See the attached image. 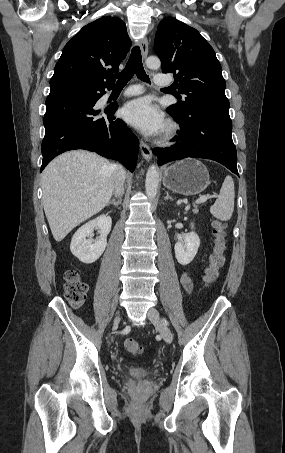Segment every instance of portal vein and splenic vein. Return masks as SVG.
Here are the masks:
<instances>
[{"label":"portal vein and splenic vein","instance_id":"obj_1","mask_svg":"<svg viewBox=\"0 0 285 453\" xmlns=\"http://www.w3.org/2000/svg\"><path fill=\"white\" fill-rule=\"evenodd\" d=\"M208 198H209L208 196L203 195V196H201L200 198H198V199L196 200L195 203H196V204L205 203V202L208 200Z\"/></svg>","mask_w":285,"mask_h":453}]
</instances>
